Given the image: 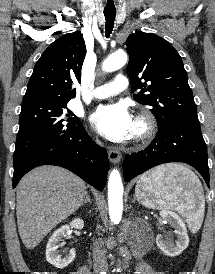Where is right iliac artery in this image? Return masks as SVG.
<instances>
[{
	"instance_id": "1",
	"label": "right iliac artery",
	"mask_w": 215,
	"mask_h": 274,
	"mask_svg": "<svg viewBox=\"0 0 215 274\" xmlns=\"http://www.w3.org/2000/svg\"><path fill=\"white\" fill-rule=\"evenodd\" d=\"M100 274H106L105 272H101Z\"/></svg>"
}]
</instances>
